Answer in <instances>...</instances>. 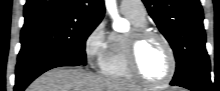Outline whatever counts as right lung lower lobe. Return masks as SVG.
Returning <instances> with one entry per match:
<instances>
[{
    "label": "right lung lower lobe",
    "instance_id": "1",
    "mask_svg": "<svg viewBox=\"0 0 220 91\" xmlns=\"http://www.w3.org/2000/svg\"><path fill=\"white\" fill-rule=\"evenodd\" d=\"M84 65L78 60L57 53H46L18 60L15 91H23L35 78L45 71L60 66Z\"/></svg>",
    "mask_w": 220,
    "mask_h": 91
}]
</instances>
